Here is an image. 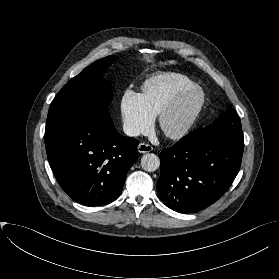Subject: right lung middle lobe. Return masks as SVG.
Listing matches in <instances>:
<instances>
[{"label": "right lung middle lobe", "mask_w": 279, "mask_h": 279, "mask_svg": "<svg viewBox=\"0 0 279 279\" xmlns=\"http://www.w3.org/2000/svg\"><path fill=\"white\" fill-rule=\"evenodd\" d=\"M113 61V56H107L94 62L59 91L49 109L45 132L57 128L88 107H106L110 103L111 84L102 75Z\"/></svg>", "instance_id": "obj_1"}]
</instances>
